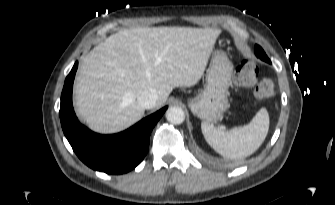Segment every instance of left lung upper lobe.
I'll return each mask as SVG.
<instances>
[{
  "label": "left lung upper lobe",
  "mask_w": 335,
  "mask_h": 205,
  "mask_svg": "<svg viewBox=\"0 0 335 205\" xmlns=\"http://www.w3.org/2000/svg\"><path fill=\"white\" fill-rule=\"evenodd\" d=\"M255 55L258 58H260L261 60H263L267 63H271V61L267 57L266 53L264 52V50L259 45H255Z\"/></svg>",
  "instance_id": "1"
}]
</instances>
